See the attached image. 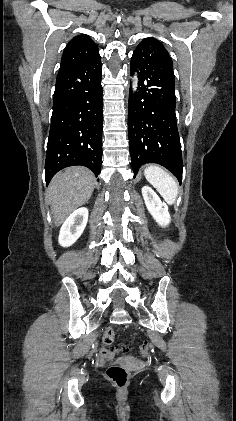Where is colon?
<instances>
[{"label":"colon","mask_w":236,"mask_h":421,"mask_svg":"<svg viewBox=\"0 0 236 421\" xmlns=\"http://www.w3.org/2000/svg\"><path fill=\"white\" fill-rule=\"evenodd\" d=\"M114 341V331L109 328L107 329L102 338V346L100 349L101 356L106 360H111L114 355L118 352H127L128 348L126 346H121L120 349H111L110 346ZM138 353L142 357H147L149 355V345L143 343L138 348ZM107 377L114 382L117 386L122 387L126 385L130 378V372L119 365L110 366L107 370Z\"/></svg>","instance_id":"5ec220e1"}]
</instances>
